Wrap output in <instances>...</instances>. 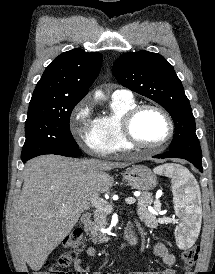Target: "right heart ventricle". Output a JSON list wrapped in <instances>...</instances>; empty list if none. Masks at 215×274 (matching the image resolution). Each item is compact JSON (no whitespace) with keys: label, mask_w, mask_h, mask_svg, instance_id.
Returning a JSON list of instances; mask_svg holds the SVG:
<instances>
[{"label":"right heart ventricle","mask_w":215,"mask_h":274,"mask_svg":"<svg viewBox=\"0 0 215 274\" xmlns=\"http://www.w3.org/2000/svg\"><path fill=\"white\" fill-rule=\"evenodd\" d=\"M135 105L136 101L133 97L112 96L111 113L96 119L98 131L105 140L109 153L124 152L131 149L122 136L121 119L125 112Z\"/></svg>","instance_id":"right-heart-ventricle-1"}]
</instances>
